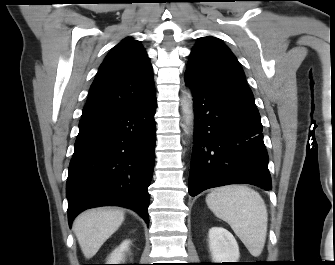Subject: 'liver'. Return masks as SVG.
I'll return each mask as SVG.
<instances>
[{"instance_id": "1", "label": "liver", "mask_w": 335, "mask_h": 265, "mask_svg": "<svg viewBox=\"0 0 335 265\" xmlns=\"http://www.w3.org/2000/svg\"><path fill=\"white\" fill-rule=\"evenodd\" d=\"M123 221L124 212L118 208L100 207L81 213L73 223V231L85 258H92Z\"/></svg>"}]
</instances>
